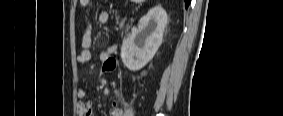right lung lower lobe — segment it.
Segmentation results:
<instances>
[{"instance_id": "98d812e1", "label": "right lung lower lobe", "mask_w": 283, "mask_h": 116, "mask_svg": "<svg viewBox=\"0 0 283 116\" xmlns=\"http://www.w3.org/2000/svg\"><path fill=\"white\" fill-rule=\"evenodd\" d=\"M185 1V7L187 8L191 2V0H184Z\"/></svg>"}]
</instances>
